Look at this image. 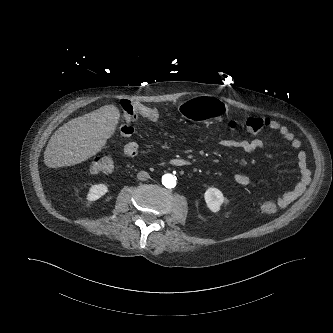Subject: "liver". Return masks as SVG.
<instances>
[{
  "label": "liver",
  "mask_w": 333,
  "mask_h": 333,
  "mask_svg": "<svg viewBox=\"0 0 333 333\" xmlns=\"http://www.w3.org/2000/svg\"><path fill=\"white\" fill-rule=\"evenodd\" d=\"M119 119V109L109 104L70 120L51 136L44 152L45 165L72 166L96 155L114 134Z\"/></svg>",
  "instance_id": "1"
}]
</instances>
